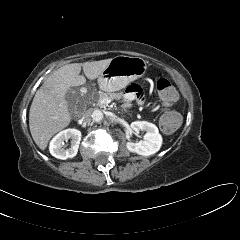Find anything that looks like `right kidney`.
<instances>
[{
	"label": "right kidney",
	"mask_w": 240,
	"mask_h": 240,
	"mask_svg": "<svg viewBox=\"0 0 240 240\" xmlns=\"http://www.w3.org/2000/svg\"><path fill=\"white\" fill-rule=\"evenodd\" d=\"M71 140V146L64 149V141ZM81 140V132L77 129H66L59 132L50 142L49 150L52 156L65 160L76 156Z\"/></svg>",
	"instance_id": "ca27d5eb"
}]
</instances>
